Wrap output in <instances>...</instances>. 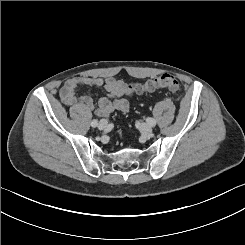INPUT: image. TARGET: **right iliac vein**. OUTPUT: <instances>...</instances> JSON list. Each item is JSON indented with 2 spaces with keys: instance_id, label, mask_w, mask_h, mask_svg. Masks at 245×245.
<instances>
[{
  "instance_id": "1",
  "label": "right iliac vein",
  "mask_w": 245,
  "mask_h": 245,
  "mask_svg": "<svg viewBox=\"0 0 245 245\" xmlns=\"http://www.w3.org/2000/svg\"><path fill=\"white\" fill-rule=\"evenodd\" d=\"M108 126V122L105 119H102L99 124H98V129L99 130H104Z\"/></svg>"
}]
</instances>
